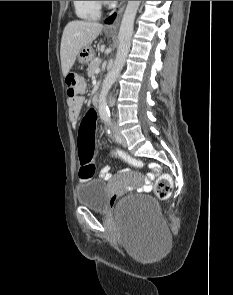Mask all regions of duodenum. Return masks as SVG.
Listing matches in <instances>:
<instances>
[{"instance_id": "obj_1", "label": "duodenum", "mask_w": 233, "mask_h": 295, "mask_svg": "<svg viewBox=\"0 0 233 295\" xmlns=\"http://www.w3.org/2000/svg\"><path fill=\"white\" fill-rule=\"evenodd\" d=\"M99 101H100V95L99 94H95L93 99H92V104L94 107H97L99 105Z\"/></svg>"}]
</instances>
